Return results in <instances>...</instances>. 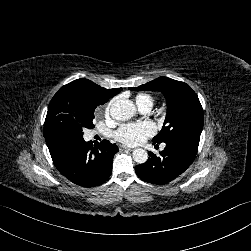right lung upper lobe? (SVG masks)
I'll use <instances>...</instances> for the list:
<instances>
[{"label":"right lung upper lobe","mask_w":251,"mask_h":251,"mask_svg":"<svg viewBox=\"0 0 251 251\" xmlns=\"http://www.w3.org/2000/svg\"><path fill=\"white\" fill-rule=\"evenodd\" d=\"M121 90L122 88L105 89L88 79L82 78L64 85L59 92L68 94L78 105L95 110L98 105L106 103Z\"/></svg>","instance_id":"cb5924a9"}]
</instances>
